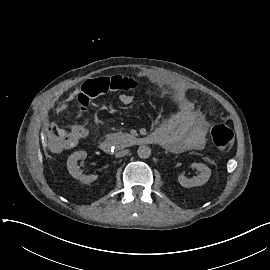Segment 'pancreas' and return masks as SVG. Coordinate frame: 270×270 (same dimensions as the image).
I'll use <instances>...</instances> for the list:
<instances>
[{
	"label": "pancreas",
	"mask_w": 270,
	"mask_h": 270,
	"mask_svg": "<svg viewBox=\"0 0 270 270\" xmlns=\"http://www.w3.org/2000/svg\"><path fill=\"white\" fill-rule=\"evenodd\" d=\"M132 138H133V136H131L130 134L122 133V132L113 133V134L109 135V139L114 142L117 149H123V148L127 147L129 141Z\"/></svg>",
	"instance_id": "obj_1"
}]
</instances>
